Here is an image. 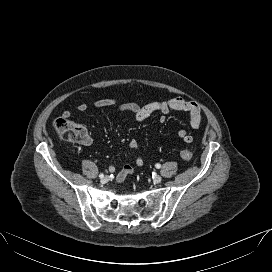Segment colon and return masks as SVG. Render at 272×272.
Masks as SVG:
<instances>
[{"label": "colon", "mask_w": 272, "mask_h": 272, "mask_svg": "<svg viewBox=\"0 0 272 272\" xmlns=\"http://www.w3.org/2000/svg\"><path fill=\"white\" fill-rule=\"evenodd\" d=\"M56 134L63 140L83 143L88 140V134L85 128L65 117H60L54 122ZM181 158L185 161L192 159V152L189 148H183L180 152Z\"/></svg>", "instance_id": "colon-1"}]
</instances>
